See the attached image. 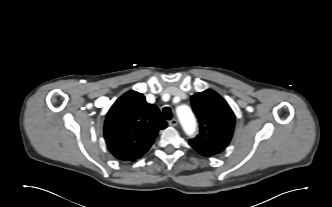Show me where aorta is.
Masks as SVG:
<instances>
[{
	"mask_svg": "<svg viewBox=\"0 0 332 207\" xmlns=\"http://www.w3.org/2000/svg\"><path fill=\"white\" fill-rule=\"evenodd\" d=\"M176 113L184 131L189 135L193 134L196 129V120L191 109L182 105L177 108Z\"/></svg>",
	"mask_w": 332,
	"mask_h": 207,
	"instance_id": "obj_1",
	"label": "aorta"
}]
</instances>
